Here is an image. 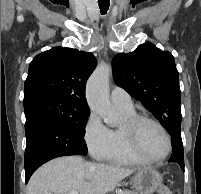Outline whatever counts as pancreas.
<instances>
[{"instance_id":"cf45deb5","label":"pancreas","mask_w":201,"mask_h":194,"mask_svg":"<svg viewBox=\"0 0 201 194\" xmlns=\"http://www.w3.org/2000/svg\"><path fill=\"white\" fill-rule=\"evenodd\" d=\"M122 194H137L135 191H124Z\"/></svg>"}]
</instances>
